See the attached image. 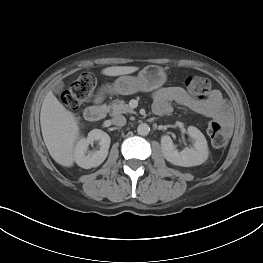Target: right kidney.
I'll list each match as a JSON object with an SVG mask.
<instances>
[{
	"label": "right kidney",
	"mask_w": 263,
	"mask_h": 263,
	"mask_svg": "<svg viewBox=\"0 0 263 263\" xmlns=\"http://www.w3.org/2000/svg\"><path fill=\"white\" fill-rule=\"evenodd\" d=\"M94 141H99L100 150L88 153V147ZM111 139L109 135L100 130L93 129L88 133L87 138H81L74 150V160L76 164L84 169L99 166L104 162L108 155Z\"/></svg>",
	"instance_id": "right-kidney-1"
}]
</instances>
